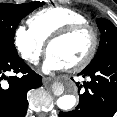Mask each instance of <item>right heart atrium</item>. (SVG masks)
Instances as JSON below:
<instances>
[{"label": "right heart atrium", "instance_id": "obj_1", "mask_svg": "<svg viewBox=\"0 0 117 117\" xmlns=\"http://www.w3.org/2000/svg\"><path fill=\"white\" fill-rule=\"evenodd\" d=\"M13 41L22 59L32 65L39 62L45 50L44 42L30 28L23 25L17 26Z\"/></svg>", "mask_w": 117, "mask_h": 117}]
</instances>
